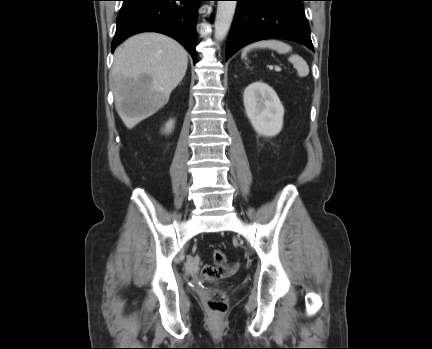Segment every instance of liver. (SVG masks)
<instances>
[{
    "label": "liver",
    "mask_w": 432,
    "mask_h": 349,
    "mask_svg": "<svg viewBox=\"0 0 432 349\" xmlns=\"http://www.w3.org/2000/svg\"><path fill=\"white\" fill-rule=\"evenodd\" d=\"M187 65L186 50L159 33L134 35L116 48L113 93L116 110L127 128L155 114L169 101ZM125 103L131 105L130 111L124 108Z\"/></svg>",
    "instance_id": "1"
}]
</instances>
